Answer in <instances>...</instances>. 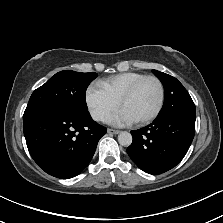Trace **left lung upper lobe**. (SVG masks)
Returning a JSON list of instances; mask_svg holds the SVG:
<instances>
[{
	"label": "left lung upper lobe",
	"instance_id": "5c2ea615",
	"mask_svg": "<svg viewBox=\"0 0 223 223\" xmlns=\"http://www.w3.org/2000/svg\"><path fill=\"white\" fill-rule=\"evenodd\" d=\"M152 72L159 78L164 86V104L157 118L171 115L196 116V109L192 98L184 86L174 77L157 71Z\"/></svg>",
	"mask_w": 223,
	"mask_h": 223
}]
</instances>
